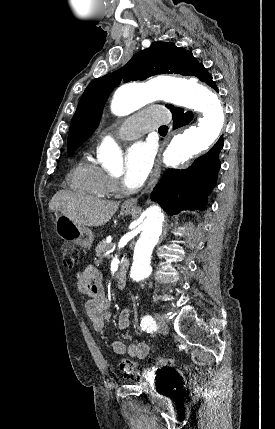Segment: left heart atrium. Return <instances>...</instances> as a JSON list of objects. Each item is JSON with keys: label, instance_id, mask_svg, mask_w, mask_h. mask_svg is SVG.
<instances>
[{"label": "left heart atrium", "instance_id": "1", "mask_svg": "<svg viewBox=\"0 0 275 429\" xmlns=\"http://www.w3.org/2000/svg\"><path fill=\"white\" fill-rule=\"evenodd\" d=\"M154 154L155 147L150 142L138 141L129 147L123 174L126 187L136 189L143 184L151 169Z\"/></svg>", "mask_w": 275, "mask_h": 429}]
</instances>
